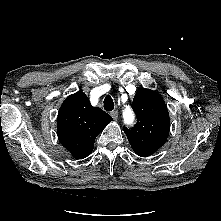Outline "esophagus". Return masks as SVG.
Listing matches in <instances>:
<instances>
[{
    "mask_svg": "<svg viewBox=\"0 0 221 221\" xmlns=\"http://www.w3.org/2000/svg\"><path fill=\"white\" fill-rule=\"evenodd\" d=\"M110 114L114 120L118 119V111H112Z\"/></svg>",
    "mask_w": 221,
    "mask_h": 221,
    "instance_id": "esophagus-1",
    "label": "esophagus"
}]
</instances>
